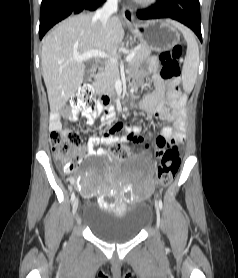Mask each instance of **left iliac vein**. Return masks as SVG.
<instances>
[{
    "instance_id": "1",
    "label": "left iliac vein",
    "mask_w": 238,
    "mask_h": 278,
    "mask_svg": "<svg viewBox=\"0 0 238 278\" xmlns=\"http://www.w3.org/2000/svg\"><path fill=\"white\" fill-rule=\"evenodd\" d=\"M156 215H157V226L159 227L160 225V211H159V207H156Z\"/></svg>"
}]
</instances>
